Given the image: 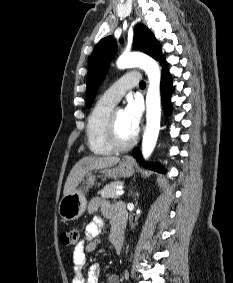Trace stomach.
I'll return each instance as SVG.
<instances>
[{"label": "stomach", "mask_w": 233, "mask_h": 283, "mask_svg": "<svg viewBox=\"0 0 233 283\" xmlns=\"http://www.w3.org/2000/svg\"><path fill=\"white\" fill-rule=\"evenodd\" d=\"M108 178L130 177L134 173L133 165L123 160L114 168H107L101 171ZM96 176L90 172L82 183V187L76 188L70 194L64 196L59 203V215L66 221H73L79 218L86 209L87 200L84 191L93 186Z\"/></svg>", "instance_id": "0dacf381"}]
</instances>
